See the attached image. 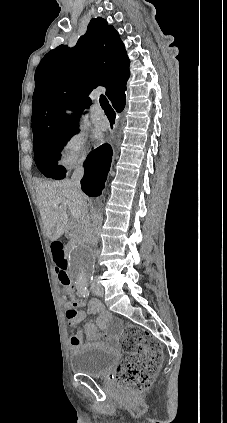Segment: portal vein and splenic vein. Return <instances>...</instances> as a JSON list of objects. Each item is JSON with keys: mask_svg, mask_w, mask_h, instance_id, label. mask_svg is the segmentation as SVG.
Here are the masks:
<instances>
[{"mask_svg": "<svg viewBox=\"0 0 227 423\" xmlns=\"http://www.w3.org/2000/svg\"><path fill=\"white\" fill-rule=\"evenodd\" d=\"M72 217H76V219H77V217H80V215H79V213H78L77 210L75 211V214H72Z\"/></svg>", "mask_w": 227, "mask_h": 423, "instance_id": "18ae733b", "label": "portal vein and splenic vein"}]
</instances>
